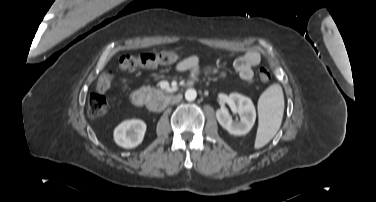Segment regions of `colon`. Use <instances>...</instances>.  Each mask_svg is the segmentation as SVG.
Instances as JSON below:
<instances>
[{
	"mask_svg": "<svg viewBox=\"0 0 376 202\" xmlns=\"http://www.w3.org/2000/svg\"><path fill=\"white\" fill-rule=\"evenodd\" d=\"M182 58L179 50H165L159 53H146L139 56L122 55L118 62L121 71L131 72L137 68H153L158 65H169ZM258 77L261 82L267 83L270 80L269 71L261 67L258 70ZM113 85V77L110 73H102L97 79V92L89 96L87 103V115L91 118L99 117L108 110V102L103 93Z\"/></svg>",
	"mask_w": 376,
	"mask_h": 202,
	"instance_id": "1",
	"label": "colon"
}]
</instances>
